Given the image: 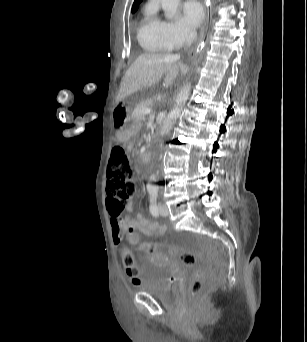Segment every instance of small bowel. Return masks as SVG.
Returning a JSON list of instances; mask_svg holds the SVG:
<instances>
[{"label":"small bowel","mask_w":307,"mask_h":342,"mask_svg":"<svg viewBox=\"0 0 307 342\" xmlns=\"http://www.w3.org/2000/svg\"><path fill=\"white\" fill-rule=\"evenodd\" d=\"M130 208L131 206L129 205V209ZM125 225H138V229H144L145 233H149L152 238L161 237L166 231L165 225L150 220L140 213L135 217L126 216L123 219L112 218L110 222L111 236L115 244H119L124 236H126Z\"/></svg>","instance_id":"small-bowel-1"}]
</instances>
